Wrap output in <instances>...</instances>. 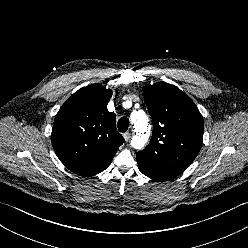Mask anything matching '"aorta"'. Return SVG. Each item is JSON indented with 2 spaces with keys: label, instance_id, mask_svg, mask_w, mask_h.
I'll use <instances>...</instances> for the list:
<instances>
[{
  "label": "aorta",
  "instance_id": "obj_1",
  "mask_svg": "<svg viewBox=\"0 0 248 248\" xmlns=\"http://www.w3.org/2000/svg\"><path fill=\"white\" fill-rule=\"evenodd\" d=\"M131 120L134 126V131L136 133V137L133 141V146L136 149H141L144 146L149 132V123L147 115L144 111L139 110L132 114Z\"/></svg>",
  "mask_w": 248,
  "mask_h": 248
}]
</instances>
